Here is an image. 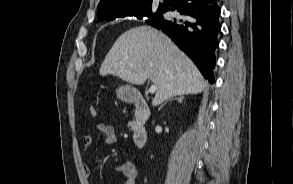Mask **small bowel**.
I'll return each mask as SVG.
<instances>
[{
	"instance_id": "c3829d8e",
	"label": "small bowel",
	"mask_w": 293,
	"mask_h": 184,
	"mask_svg": "<svg viewBox=\"0 0 293 184\" xmlns=\"http://www.w3.org/2000/svg\"><path fill=\"white\" fill-rule=\"evenodd\" d=\"M94 127L102 135L104 143L113 144L116 142V134L111 122H97ZM92 143L93 139L90 135H85L83 137L85 152L90 150ZM116 170L124 176V184H137L138 170L134 162L126 161L118 165ZM83 173L87 178L91 176L92 168L90 161L84 164Z\"/></svg>"
}]
</instances>
